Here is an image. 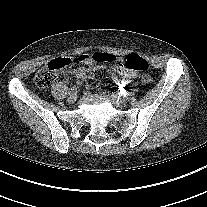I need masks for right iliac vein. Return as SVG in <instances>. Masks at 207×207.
<instances>
[{
  "instance_id": "1",
  "label": "right iliac vein",
  "mask_w": 207,
  "mask_h": 207,
  "mask_svg": "<svg viewBox=\"0 0 207 207\" xmlns=\"http://www.w3.org/2000/svg\"><path fill=\"white\" fill-rule=\"evenodd\" d=\"M77 100V97L75 94H70L68 97V102L74 103Z\"/></svg>"
}]
</instances>
